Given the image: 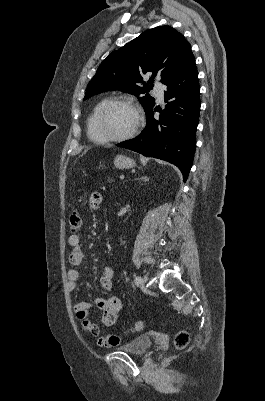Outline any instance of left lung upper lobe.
Returning a JSON list of instances; mask_svg holds the SVG:
<instances>
[{
	"instance_id": "left-lung-upper-lobe-1",
	"label": "left lung upper lobe",
	"mask_w": 265,
	"mask_h": 401,
	"mask_svg": "<svg viewBox=\"0 0 265 401\" xmlns=\"http://www.w3.org/2000/svg\"><path fill=\"white\" fill-rule=\"evenodd\" d=\"M191 46L184 36L170 26H159L143 32L136 39L113 51L101 63L89 82L84 100L105 91L118 90L138 97L145 112L155 100L145 94L153 88L155 77L167 84L192 56ZM151 74L148 83L143 75ZM142 83L144 87H140Z\"/></svg>"
}]
</instances>
